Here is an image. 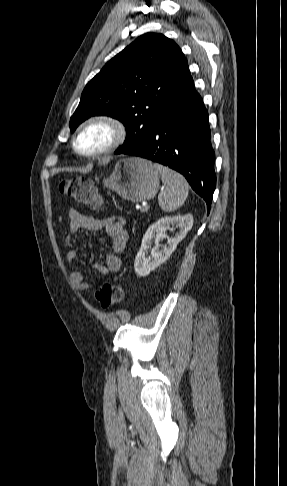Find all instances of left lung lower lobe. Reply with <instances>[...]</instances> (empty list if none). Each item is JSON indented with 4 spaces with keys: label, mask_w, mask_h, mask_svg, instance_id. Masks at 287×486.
Returning <instances> with one entry per match:
<instances>
[{
    "label": "left lung lower lobe",
    "mask_w": 287,
    "mask_h": 486,
    "mask_svg": "<svg viewBox=\"0 0 287 486\" xmlns=\"http://www.w3.org/2000/svg\"><path fill=\"white\" fill-rule=\"evenodd\" d=\"M210 135L208 112L192 79L153 124L145 141L121 154L147 158L180 172L204 198L209 211L216 186Z\"/></svg>",
    "instance_id": "1"
}]
</instances>
